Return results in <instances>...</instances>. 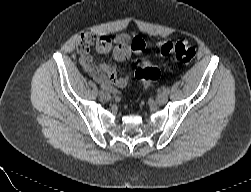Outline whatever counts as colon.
<instances>
[{"mask_svg":"<svg viewBox=\"0 0 251 192\" xmlns=\"http://www.w3.org/2000/svg\"><path fill=\"white\" fill-rule=\"evenodd\" d=\"M157 47L161 55L173 57L184 64L191 63L196 56L195 48L182 41L162 40L157 43ZM135 77L144 87H150L159 79L160 71L149 60L142 59L136 63Z\"/></svg>","mask_w":251,"mask_h":192,"instance_id":"colon-1","label":"colon"}]
</instances>
